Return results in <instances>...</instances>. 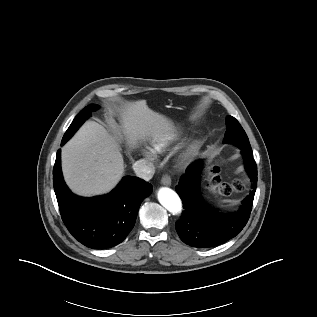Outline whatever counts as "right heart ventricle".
Wrapping results in <instances>:
<instances>
[{
    "label": "right heart ventricle",
    "mask_w": 317,
    "mask_h": 317,
    "mask_svg": "<svg viewBox=\"0 0 317 317\" xmlns=\"http://www.w3.org/2000/svg\"><path fill=\"white\" fill-rule=\"evenodd\" d=\"M175 140V137L172 134H164L161 136H158L152 140V148L155 152L159 153L164 151L167 147H169L173 141Z\"/></svg>",
    "instance_id": "right-heart-ventricle-1"
}]
</instances>
